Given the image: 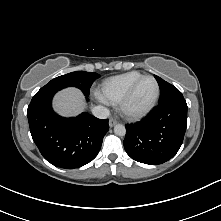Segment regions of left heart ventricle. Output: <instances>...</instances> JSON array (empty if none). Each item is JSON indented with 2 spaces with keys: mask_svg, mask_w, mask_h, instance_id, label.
Masks as SVG:
<instances>
[{
  "mask_svg": "<svg viewBox=\"0 0 221 221\" xmlns=\"http://www.w3.org/2000/svg\"><path fill=\"white\" fill-rule=\"evenodd\" d=\"M155 94V83L151 79L142 81L137 87L131 102L130 108L139 110L147 106Z\"/></svg>",
  "mask_w": 221,
  "mask_h": 221,
  "instance_id": "obj_1",
  "label": "left heart ventricle"
}]
</instances>
